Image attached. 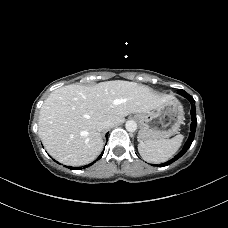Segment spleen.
Masks as SVG:
<instances>
[{"label": "spleen", "mask_w": 228, "mask_h": 228, "mask_svg": "<svg viewBox=\"0 0 228 228\" xmlns=\"http://www.w3.org/2000/svg\"><path fill=\"white\" fill-rule=\"evenodd\" d=\"M183 135L179 134L171 139L158 141H141L138 151L141 157L149 163H162L170 159L180 148Z\"/></svg>", "instance_id": "spleen-1"}]
</instances>
